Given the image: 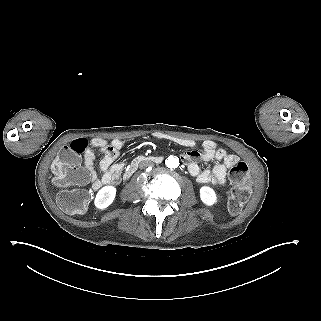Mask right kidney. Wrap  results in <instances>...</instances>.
<instances>
[{
    "label": "right kidney",
    "mask_w": 321,
    "mask_h": 321,
    "mask_svg": "<svg viewBox=\"0 0 321 321\" xmlns=\"http://www.w3.org/2000/svg\"><path fill=\"white\" fill-rule=\"evenodd\" d=\"M117 188L112 185L102 187L96 194L94 204L97 210L105 211L115 200Z\"/></svg>",
    "instance_id": "ca27d5eb"
}]
</instances>
